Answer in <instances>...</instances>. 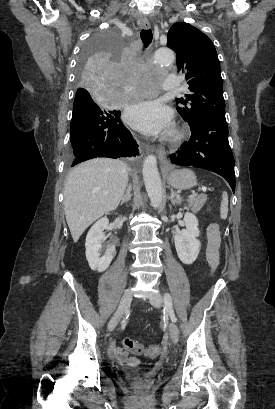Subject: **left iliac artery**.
Returning a JSON list of instances; mask_svg holds the SVG:
<instances>
[{"mask_svg": "<svg viewBox=\"0 0 275 409\" xmlns=\"http://www.w3.org/2000/svg\"><path fill=\"white\" fill-rule=\"evenodd\" d=\"M164 304H165L164 310L169 314L171 320L173 322H177V317L175 316L174 309H173L172 298L169 293H165L164 295Z\"/></svg>", "mask_w": 275, "mask_h": 409, "instance_id": "obj_1", "label": "left iliac artery"}]
</instances>
